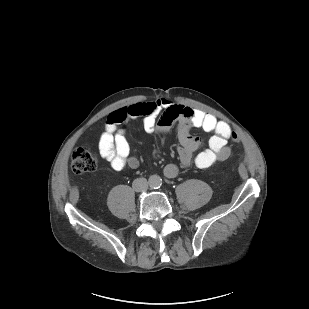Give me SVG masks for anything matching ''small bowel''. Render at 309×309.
Masks as SVG:
<instances>
[{
  "label": "small bowel",
  "mask_w": 309,
  "mask_h": 309,
  "mask_svg": "<svg viewBox=\"0 0 309 309\" xmlns=\"http://www.w3.org/2000/svg\"><path fill=\"white\" fill-rule=\"evenodd\" d=\"M141 118L143 127L148 133L162 134L173 122H178V155L182 166L191 165L200 169L212 166L216 162L226 160L231 150L227 145L232 129L224 121L200 109L175 104L169 99L159 98L146 102H135L126 107L113 111L107 119L104 132L100 136L98 147L102 158L107 160L114 170L125 167L135 169L139 160L131 155V147L125 132L119 125L130 120ZM191 127L201 128L212 133L208 148L194 155L200 146V140L192 136ZM179 169L174 164L164 168L168 178H175Z\"/></svg>",
  "instance_id": "1"
}]
</instances>
